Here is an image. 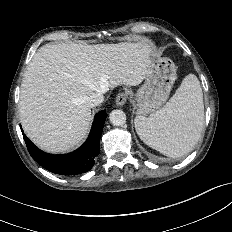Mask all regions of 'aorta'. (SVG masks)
<instances>
[{
	"instance_id": "1",
	"label": "aorta",
	"mask_w": 232,
	"mask_h": 232,
	"mask_svg": "<svg viewBox=\"0 0 232 232\" xmlns=\"http://www.w3.org/2000/svg\"><path fill=\"white\" fill-rule=\"evenodd\" d=\"M109 120L114 126H122L126 122V114L122 110H113L109 115Z\"/></svg>"
}]
</instances>
